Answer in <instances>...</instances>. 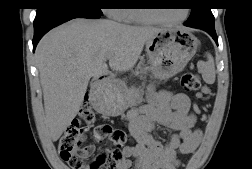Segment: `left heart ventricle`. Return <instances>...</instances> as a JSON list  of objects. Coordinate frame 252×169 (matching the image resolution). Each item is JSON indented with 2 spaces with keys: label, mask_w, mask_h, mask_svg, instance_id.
Listing matches in <instances>:
<instances>
[{
  "label": "left heart ventricle",
  "mask_w": 252,
  "mask_h": 169,
  "mask_svg": "<svg viewBox=\"0 0 252 169\" xmlns=\"http://www.w3.org/2000/svg\"><path fill=\"white\" fill-rule=\"evenodd\" d=\"M151 13L159 18L175 20L179 19L183 15L182 9H171V10H163V11H151Z\"/></svg>",
  "instance_id": "left-heart-ventricle-1"
}]
</instances>
